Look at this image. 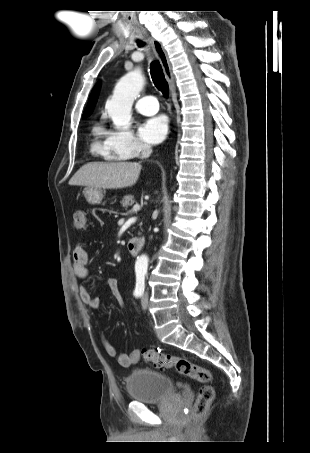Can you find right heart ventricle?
I'll return each instance as SVG.
<instances>
[{
    "instance_id": "e07e8e85",
    "label": "right heart ventricle",
    "mask_w": 310,
    "mask_h": 453,
    "mask_svg": "<svg viewBox=\"0 0 310 453\" xmlns=\"http://www.w3.org/2000/svg\"><path fill=\"white\" fill-rule=\"evenodd\" d=\"M92 133H93V139H92L90 147H91V151L93 154L100 156L103 159L108 160V161H119V160L123 159L122 157H119V156L113 154L109 150L105 140H103L105 135H104V131L101 128V126L95 125L93 127Z\"/></svg>"
}]
</instances>
